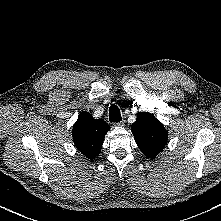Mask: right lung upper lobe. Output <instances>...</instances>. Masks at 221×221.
<instances>
[{
    "label": "right lung upper lobe",
    "instance_id": "right-lung-upper-lobe-1",
    "mask_svg": "<svg viewBox=\"0 0 221 221\" xmlns=\"http://www.w3.org/2000/svg\"><path fill=\"white\" fill-rule=\"evenodd\" d=\"M109 129L110 126L103 119H94L90 113H82L73 126L74 144L83 155L92 160L100 153Z\"/></svg>",
    "mask_w": 221,
    "mask_h": 221
}]
</instances>
